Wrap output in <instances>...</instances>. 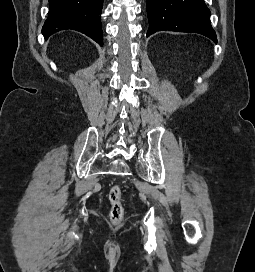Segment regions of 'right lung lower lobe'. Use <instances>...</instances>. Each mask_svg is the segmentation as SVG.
<instances>
[{"label": "right lung lower lobe", "instance_id": "98d812e1", "mask_svg": "<svg viewBox=\"0 0 255 272\" xmlns=\"http://www.w3.org/2000/svg\"><path fill=\"white\" fill-rule=\"evenodd\" d=\"M49 3V15L42 29L45 39L55 32L70 29L103 45L99 16L103 0H49Z\"/></svg>", "mask_w": 255, "mask_h": 272}]
</instances>
